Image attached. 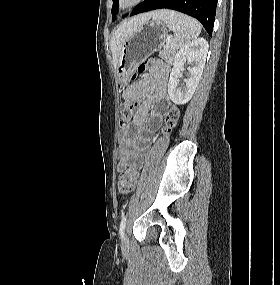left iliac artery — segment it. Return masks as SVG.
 I'll return each instance as SVG.
<instances>
[{"label": "left iliac artery", "instance_id": "1", "mask_svg": "<svg viewBox=\"0 0 280 285\" xmlns=\"http://www.w3.org/2000/svg\"><path fill=\"white\" fill-rule=\"evenodd\" d=\"M127 216H123L121 223H120V236L123 238L125 226H126Z\"/></svg>", "mask_w": 280, "mask_h": 285}]
</instances>
